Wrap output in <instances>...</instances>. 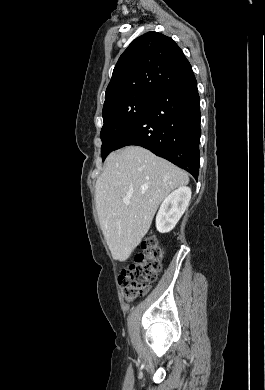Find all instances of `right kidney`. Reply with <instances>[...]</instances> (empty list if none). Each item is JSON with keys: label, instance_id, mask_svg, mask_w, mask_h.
<instances>
[{"label": "right kidney", "instance_id": "obj_1", "mask_svg": "<svg viewBox=\"0 0 265 390\" xmlns=\"http://www.w3.org/2000/svg\"><path fill=\"white\" fill-rule=\"evenodd\" d=\"M190 199L191 189L182 186L163 200L156 216V228L160 233H168L175 227Z\"/></svg>", "mask_w": 265, "mask_h": 390}]
</instances>
